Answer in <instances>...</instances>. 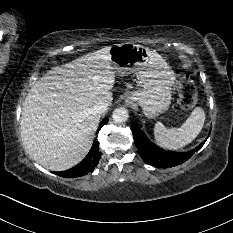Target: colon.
<instances>
[{
	"label": "colon",
	"instance_id": "1",
	"mask_svg": "<svg viewBox=\"0 0 233 233\" xmlns=\"http://www.w3.org/2000/svg\"><path fill=\"white\" fill-rule=\"evenodd\" d=\"M178 95L180 105L184 109H190L197 103V93L194 82L189 74H184L178 83Z\"/></svg>",
	"mask_w": 233,
	"mask_h": 233
}]
</instances>
